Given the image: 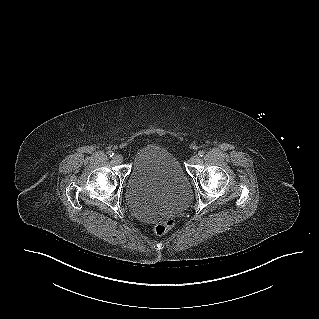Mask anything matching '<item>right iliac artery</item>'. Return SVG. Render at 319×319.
Listing matches in <instances>:
<instances>
[{
    "label": "right iliac artery",
    "mask_w": 319,
    "mask_h": 319,
    "mask_svg": "<svg viewBox=\"0 0 319 319\" xmlns=\"http://www.w3.org/2000/svg\"><path fill=\"white\" fill-rule=\"evenodd\" d=\"M107 154L109 157H113V155H114V153L112 151H108Z\"/></svg>",
    "instance_id": "obj_1"
}]
</instances>
